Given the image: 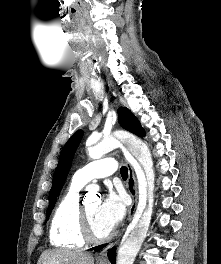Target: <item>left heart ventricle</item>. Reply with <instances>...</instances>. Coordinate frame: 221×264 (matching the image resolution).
<instances>
[{
  "mask_svg": "<svg viewBox=\"0 0 221 264\" xmlns=\"http://www.w3.org/2000/svg\"><path fill=\"white\" fill-rule=\"evenodd\" d=\"M100 201L97 198H89L85 200V207L91 224L93 233L96 236H103L107 234L111 229L104 223L99 216Z\"/></svg>",
  "mask_w": 221,
  "mask_h": 264,
  "instance_id": "obj_1",
  "label": "left heart ventricle"
}]
</instances>
